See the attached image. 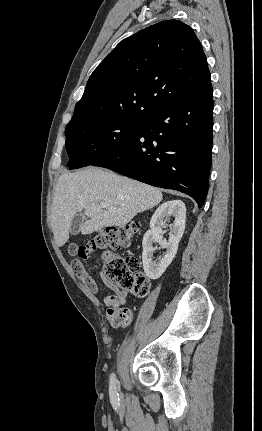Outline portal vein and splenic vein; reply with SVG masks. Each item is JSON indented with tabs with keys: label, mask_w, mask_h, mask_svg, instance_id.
<instances>
[{
	"label": "portal vein and splenic vein",
	"mask_w": 262,
	"mask_h": 431,
	"mask_svg": "<svg viewBox=\"0 0 262 431\" xmlns=\"http://www.w3.org/2000/svg\"><path fill=\"white\" fill-rule=\"evenodd\" d=\"M100 206H101L102 208L108 209L109 211H114V210H115V208H114V207L110 206V205H109L108 203H106V202H101V203H100Z\"/></svg>",
	"instance_id": "portal-vein-and-splenic-vein-1"
}]
</instances>
